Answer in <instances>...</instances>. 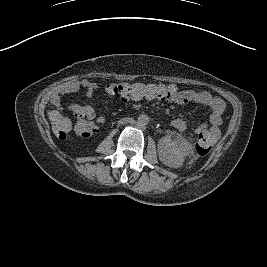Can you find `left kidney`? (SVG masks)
Returning <instances> with one entry per match:
<instances>
[{"mask_svg": "<svg viewBox=\"0 0 267 267\" xmlns=\"http://www.w3.org/2000/svg\"><path fill=\"white\" fill-rule=\"evenodd\" d=\"M158 157L170 168H180L185 161L184 152L168 137H162L158 141Z\"/></svg>", "mask_w": 267, "mask_h": 267, "instance_id": "5707ae66", "label": "left kidney"}]
</instances>
